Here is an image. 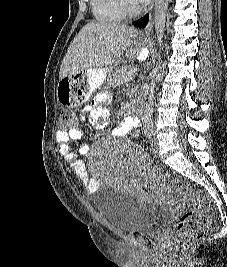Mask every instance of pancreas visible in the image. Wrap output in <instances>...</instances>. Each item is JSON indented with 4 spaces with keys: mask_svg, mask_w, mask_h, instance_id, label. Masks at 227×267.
I'll list each match as a JSON object with an SVG mask.
<instances>
[{
    "mask_svg": "<svg viewBox=\"0 0 227 267\" xmlns=\"http://www.w3.org/2000/svg\"><path fill=\"white\" fill-rule=\"evenodd\" d=\"M134 73L127 69L116 70L109 78L110 85H120L134 79Z\"/></svg>",
    "mask_w": 227,
    "mask_h": 267,
    "instance_id": "cf45deb5",
    "label": "pancreas"
}]
</instances>
